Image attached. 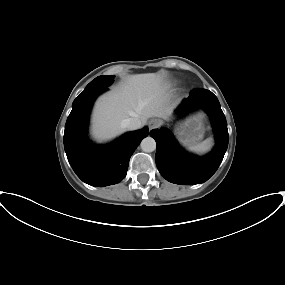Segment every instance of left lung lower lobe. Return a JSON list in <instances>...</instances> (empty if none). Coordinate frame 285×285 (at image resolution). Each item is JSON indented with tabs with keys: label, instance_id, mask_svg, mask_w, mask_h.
Returning a JSON list of instances; mask_svg holds the SVG:
<instances>
[{
	"label": "left lung lower lobe",
	"instance_id": "0a47b994",
	"mask_svg": "<svg viewBox=\"0 0 285 285\" xmlns=\"http://www.w3.org/2000/svg\"><path fill=\"white\" fill-rule=\"evenodd\" d=\"M197 108L204 109L212 119L216 136L214 150L204 157L187 153L168 129H155L150 135L157 143L156 165L169 182L193 185L207 181L218 169L228 147L227 122L217 97L209 90L194 89L176 110L180 116Z\"/></svg>",
	"mask_w": 285,
	"mask_h": 285
}]
</instances>
